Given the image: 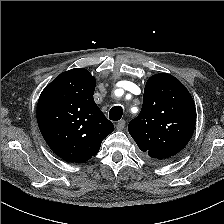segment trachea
I'll use <instances>...</instances> for the list:
<instances>
[{
    "label": "trachea",
    "mask_w": 224,
    "mask_h": 224,
    "mask_svg": "<svg viewBox=\"0 0 224 224\" xmlns=\"http://www.w3.org/2000/svg\"><path fill=\"white\" fill-rule=\"evenodd\" d=\"M123 109L121 106H114L109 112V119L112 121H118L122 118Z\"/></svg>",
    "instance_id": "trachea-1"
}]
</instances>
